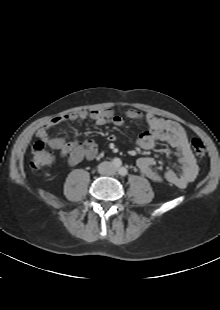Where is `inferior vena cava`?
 <instances>
[{
	"mask_svg": "<svg viewBox=\"0 0 220 310\" xmlns=\"http://www.w3.org/2000/svg\"><path fill=\"white\" fill-rule=\"evenodd\" d=\"M112 164L110 162L104 161L98 165V172L100 174H111Z\"/></svg>",
	"mask_w": 220,
	"mask_h": 310,
	"instance_id": "602c4592",
	"label": "inferior vena cava"
}]
</instances>
